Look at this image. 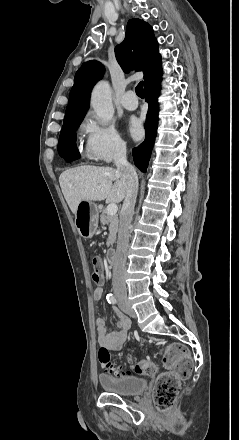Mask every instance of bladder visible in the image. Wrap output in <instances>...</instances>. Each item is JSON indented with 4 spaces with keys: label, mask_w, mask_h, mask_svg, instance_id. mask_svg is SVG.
Wrapping results in <instances>:
<instances>
[{
    "label": "bladder",
    "mask_w": 239,
    "mask_h": 440,
    "mask_svg": "<svg viewBox=\"0 0 239 440\" xmlns=\"http://www.w3.org/2000/svg\"><path fill=\"white\" fill-rule=\"evenodd\" d=\"M98 380L105 391L122 396L137 395L147 388V380L135 376H114L100 373Z\"/></svg>",
    "instance_id": "obj_1"
}]
</instances>
